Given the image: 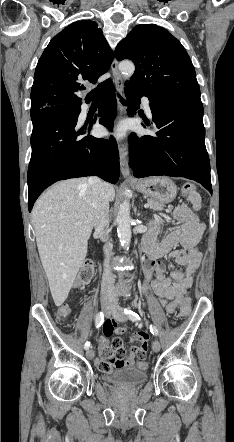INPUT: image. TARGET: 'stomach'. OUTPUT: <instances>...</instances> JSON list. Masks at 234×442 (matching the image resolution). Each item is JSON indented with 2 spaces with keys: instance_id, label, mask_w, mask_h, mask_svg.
<instances>
[{
  "instance_id": "obj_1",
  "label": "stomach",
  "mask_w": 234,
  "mask_h": 442,
  "mask_svg": "<svg viewBox=\"0 0 234 442\" xmlns=\"http://www.w3.org/2000/svg\"><path fill=\"white\" fill-rule=\"evenodd\" d=\"M136 189L151 199L162 203L172 202L177 195V186L167 177H150L140 180Z\"/></svg>"
}]
</instances>
